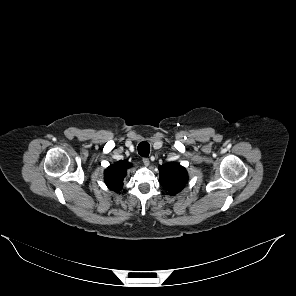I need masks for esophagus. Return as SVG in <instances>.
<instances>
[{"label":"esophagus","instance_id":"obj_1","mask_svg":"<svg viewBox=\"0 0 296 296\" xmlns=\"http://www.w3.org/2000/svg\"><path fill=\"white\" fill-rule=\"evenodd\" d=\"M143 163H144L145 166H149V164H150L149 159L144 157L143 158Z\"/></svg>","mask_w":296,"mask_h":296}]
</instances>
